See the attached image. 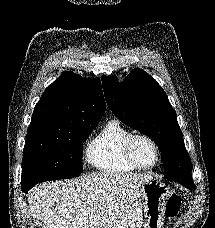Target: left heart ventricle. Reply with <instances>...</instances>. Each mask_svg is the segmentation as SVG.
Listing matches in <instances>:
<instances>
[{"label":"left heart ventricle","instance_id":"obj_1","mask_svg":"<svg viewBox=\"0 0 215 228\" xmlns=\"http://www.w3.org/2000/svg\"><path fill=\"white\" fill-rule=\"evenodd\" d=\"M134 159L142 167H150L156 160V154L146 140H138L133 150Z\"/></svg>","mask_w":215,"mask_h":228}]
</instances>
